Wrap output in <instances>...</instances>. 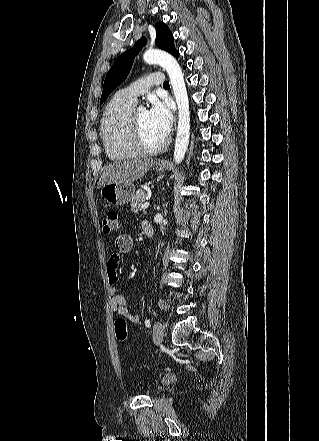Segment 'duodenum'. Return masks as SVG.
<instances>
[{
    "mask_svg": "<svg viewBox=\"0 0 319 441\" xmlns=\"http://www.w3.org/2000/svg\"><path fill=\"white\" fill-rule=\"evenodd\" d=\"M144 232L147 237H151L154 233V228L152 224L148 221H145L143 224Z\"/></svg>",
    "mask_w": 319,
    "mask_h": 441,
    "instance_id": "1",
    "label": "duodenum"
}]
</instances>
